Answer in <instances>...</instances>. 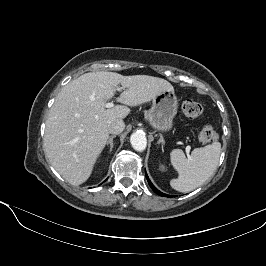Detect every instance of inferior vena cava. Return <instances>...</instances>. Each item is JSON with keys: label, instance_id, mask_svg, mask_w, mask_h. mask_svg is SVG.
I'll list each match as a JSON object with an SVG mask.
<instances>
[{"label": "inferior vena cava", "instance_id": "1", "mask_svg": "<svg viewBox=\"0 0 266 266\" xmlns=\"http://www.w3.org/2000/svg\"><path fill=\"white\" fill-rule=\"evenodd\" d=\"M125 129V123L122 119H115L108 124V132L110 134H120Z\"/></svg>", "mask_w": 266, "mask_h": 266}]
</instances>
